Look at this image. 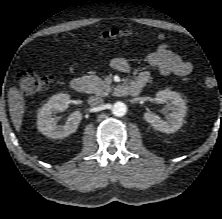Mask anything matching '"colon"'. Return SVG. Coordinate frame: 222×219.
I'll list each match as a JSON object with an SVG mask.
<instances>
[{"instance_id":"colon-1","label":"colon","mask_w":222,"mask_h":219,"mask_svg":"<svg viewBox=\"0 0 222 219\" xmlns=\"http://www.w3.org/2000/svg\"><path fill=\"white\" fill-rule=\"evenodd\" d=\"M132 31H123L112 29L104 31L98 35L100 39H118L129 38L135 36ZM159 40H164V36H159ZM51 82V78L45 75H38L31 70H21L17 75V83L20 90L26 94H36L46 89ZM204 86L207 89H212L217 85V80L213 76L204 78Z\"/></svg>"}]
</instances>
